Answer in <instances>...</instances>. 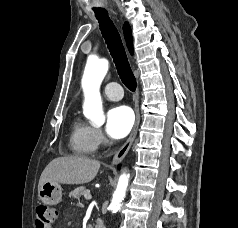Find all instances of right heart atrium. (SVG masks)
Listing matches in <instances>:
<instances>
[{
    "label": "right heart atrium",
    "instance_id": "1",
    "mask_svg": "<svg viewBox=\"0 0 238 228\" xmlns=\"http://www.w3.org/2000/svg\"><path fill=\"white\" fill-rule=\"evenodd\" d=\"M92 137L96 146H101L106 142L105 136L100 128H92Z\"/></svg>",
    "mask_w": 238,
    "mask_h": 228
}]
</instances>
